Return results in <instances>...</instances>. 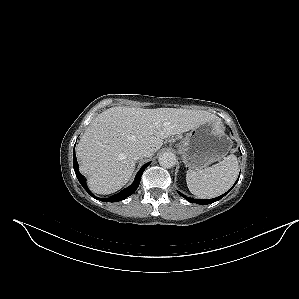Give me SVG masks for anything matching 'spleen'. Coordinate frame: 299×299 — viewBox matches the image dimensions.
Returning <instances> with one entry per match:
<instances>
[{"mask_svg": "<svg viewBox=\"0 0 299 299\" xmlns=\"http://www.w3.org/2000/svg\"><path fill=\"white\" fill-rule=\"evenodd\" d=\"M239 173L235 155L225 157L221 162L200 170H188L186 182L189 191L199 198H213L226 192Z\"/></svg>", "mask_w": 299, "mask_h": 299, "instance_id": "obj_1", "label": "spleen"}]
</instances>
